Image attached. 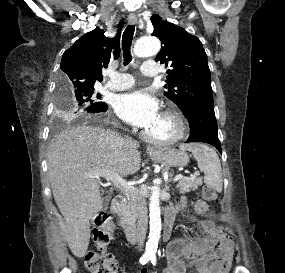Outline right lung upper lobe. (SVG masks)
Segmentation results:
<instances>
[{
	"label": "right lung upper lobe",
	"instance_id": "1",
	"mask_svg": "<svg viewBox=\"0 0 285 273\" xmlns=\"http://www.w3.org/2000/svg\"><path fill=\"white\" fill-rule=\"evenodd\" d=\"M123 22H120L122 27ZM120 55V33L107 38L99 27L80 37L62 56L60 68L63 79L71 88L94 87L102 81L101 70L111 59Z\"/></svg>",
	"mask_w": 285,
	"mask_h": 273
}]
</instances>
